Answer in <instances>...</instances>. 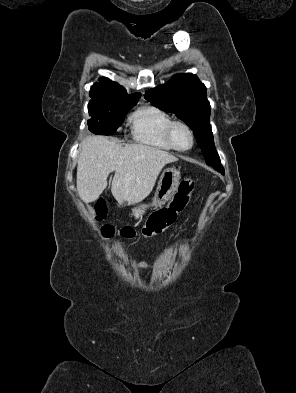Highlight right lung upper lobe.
Returning a JSON list of instances; mask_svg holds the SVG:
<instances>
[{"label":"right lung upper lobe","mask_w":296,"mask_h":393,"mask_svg":"<svg viewBox=\"0 0 296 393\" xmlns=\"http://www.w3.org/2000/svg\"><path fill=\"white\" fill-rule=\"evenodd\" d=\"M141 94L128 95L126 90L108 78H100L90 90V103L112 100L138 101Z\"/></svg>","instance_id":"right-lung-upper-lobe-1"}]
</instances>
